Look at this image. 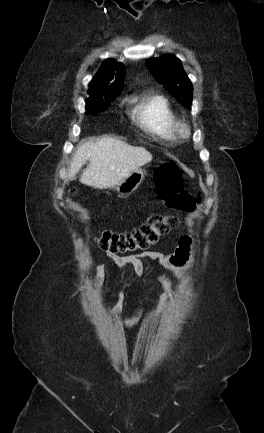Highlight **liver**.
<instances>
[{
	"label": "liver",
	"mask_w": 264,
	"mask_h": 433,
	"mask_svg": "<svg viewBox=\"0 0 264 433\" xmlns=\"http://www.w3.org/2000/svg\"><path fill=\"white\" fill-rule=\"evenodd\" d=\"M151 159V153L145 148L105 136L96 142L85 141L78 146L69 166L68 178L74 179L89 160L80 182L96 189L113 188Z\"/></svg>",
	"instance_id": "6515ba94"
}]
</instances>
